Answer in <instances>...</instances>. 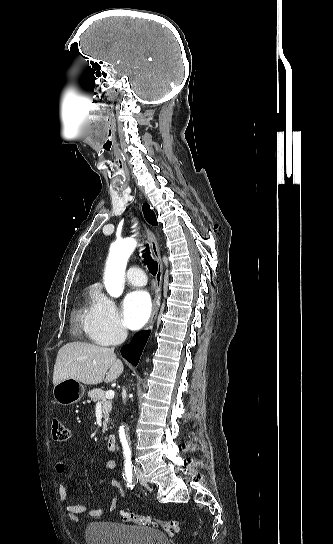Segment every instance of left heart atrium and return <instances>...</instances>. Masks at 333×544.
I'll list each match as a JSON object with an SVG mask.
<instances>
[{
  "label": "left heart atrium",
  "mask_w": 333,
  "mask_h": 544,
  "mask_svg": "<svg viewBox=\"0 0 333 544\" xmlns=\"http://www.w3.org/2000/svg\"><path fill=\"white\" fill-rule=\"evenodd\" d=\"M151 313V299L143 290L129 293L123 302V319L127 327L132 330L141 328L149 319Z\"/></svg>",
  "instance_id": "1"
}]
</instances>
